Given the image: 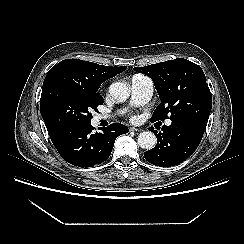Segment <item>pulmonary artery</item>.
<instances>
[{
  "instance_id": "1",
  "label": "pulmonary artery",
  "mask_w": 244,
  "mask_h": 244,
  "mask_svg": "<svg viewBox=\"0 0 244 244\" xmlns=\"http://www.w3.org/2000/svg\"><path fill=\"white\" fill-rule=\"evenodd\" d=\"M153 81L144 75H135L131 79V104L141 105L149 101L153 94ZM108 116L101 115L98 119H105ZM165 124L169 126L171 120H166Z\"/></svg>"
}]
</instances>
